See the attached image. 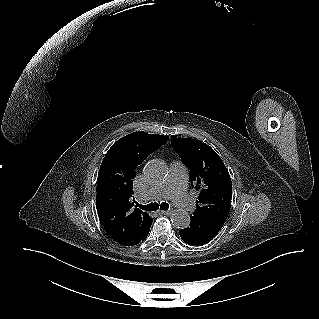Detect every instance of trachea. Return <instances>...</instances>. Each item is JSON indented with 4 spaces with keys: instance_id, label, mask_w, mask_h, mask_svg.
I'll return each instance as SVG.
<instances>
[{
    "instance_id": "3493384b",
    "label": "trachea",
    "mask_w": 319,
    "mask_h": 319,
    "mask_svg": "<svg viewBox=\"0 0 319 319\" xmlns=\"http://www.w3.org/2000/svg\"><path fill=\"white\" fill-rule=\"evenodd\" d=\"M136 206L142 210H145V211H156L159 209V207L161 210H168L169 209V204L166 202H163L161 204L150 203L148 205H142V204L136 203Z\"/></svg>"
}]
</instances>
